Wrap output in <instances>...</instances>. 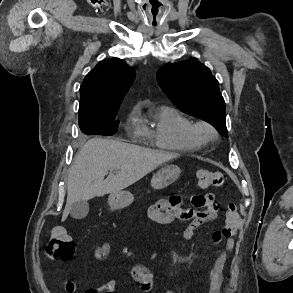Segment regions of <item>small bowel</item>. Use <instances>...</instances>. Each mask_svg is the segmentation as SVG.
<instances>
[{
  "instance_id": "1",
  "label": "small bowel",
  "mask_w": 293,
  "mask_h": 293,
  "mask_svg": "<svg viewBox=\"0 0 293 293\" xmlns=\"http://www.w3.org/2000/svg\"><path fill=\"white\" fill-rule=\"evenodd\" d=\"M194 209H184L179 195L173 194L169 198L160 199L148 209V217L158 224H169L174 221L188 222V226L183 230V239L189 242L195 231L205 222L216 218L218 212V203L213 193L197 194L192 197ZM214 243L224 241L227 251H232L235 246L233 236H225L219 231L211 234ZM112 251V245L109 242H103L95 247L92 255L97 260L106 259ZM227 261V254L222 252L218 255L216 261L209 272V283L204 293H218L223 281V270ZM132 279L140 286L141 290L148 293L154 284V275L151 270L141 264L133 266L131 271ZM118 278L113 277L102 287L97 289H87L84 293H117ZM66 293H78L79 287L76 283L69 281L65 285ZM165 293H177L173 289H167Z\"/></svg>"
}]
</instances>
